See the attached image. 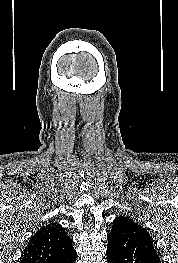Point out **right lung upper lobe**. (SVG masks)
Instances as JSON below:
<instances>
[{
    "mask_svg": "<svg viewBox=\"0 0 178 263\" xmlns=\"http://www.w3.org/2000/svg\"><path fill=\"white\" fill-rule=\"evenodd\" d=\"M72 242L61 225L48 224L29 239L20 263H57L75 251Z\"/></svg>",
    "mask_w": 178,
    "mask_h": 263,
    "instance_id": "1",
    "label": "right lung upper lobe"
}]
</instances>
